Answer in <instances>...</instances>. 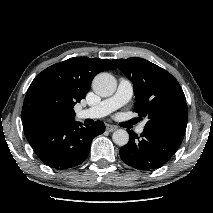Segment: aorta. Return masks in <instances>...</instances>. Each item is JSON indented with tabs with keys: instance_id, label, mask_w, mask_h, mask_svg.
<instances>
[{
	"instance_id": "762f6f07",
	"label": "aorta",
	"mask_w": 213,
	"mask_h": 213,
	"mask_svg": "<svg viewBox=\"0 0 213 213\" xmlns=\"http://www.w3.org/2000/svg\"><path fill=\"white\" fill-rule=\"evenodd\" d=\"M92 87L99 96L108 97L115 92L117 83L111 74L102 72L94 77ZM112 139L116 145L124 146L129 141V134L124 129H118L113 133Z\"/></svg>"
}]
</instances>
